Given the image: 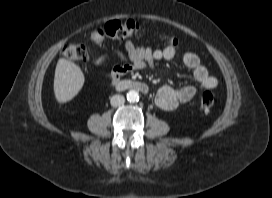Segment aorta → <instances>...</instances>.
I'll return each instance as SVG.
<instances>
[{
    "label": "aorta",
    "mask_w": 272,
    "mask_h": 198,
    "mask_svg": "<svg viewBox=\"0 0 272 198\" xmlns=\"http://www.w3.org/2000/svg\"><path fill=\"white\" fill-rule=\"evenodd\" d=\"M127 100L129 102H138L139 100V93L135 90H130L128 93H127Z\"/></svg>",
    "instance_id": "762f6f07"
}]
</instances>
